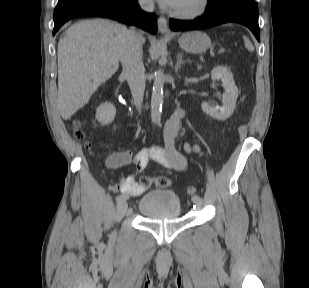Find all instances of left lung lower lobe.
Returning <instances> with one entry per match:
<instances>
[{
    "label": "left lung lower lobe",
    "mask_w": 309,
    "mask_h": 288,
    "mask_svg": "<svg viewBox=\"0 0 309 288\" xmlns=\"http://www.w3.org/2000/svg\"><path fill=\"white\" fill-rule=\"evenodd\" d=\"M227 22H237L247 26L258 41V9L255 0H218L208 4L207 11L199 19L192 21L170 20L174 31H187L216 26Z\"/></svg>",
    "instance_id": "0a47b994"
}]
</instances>
